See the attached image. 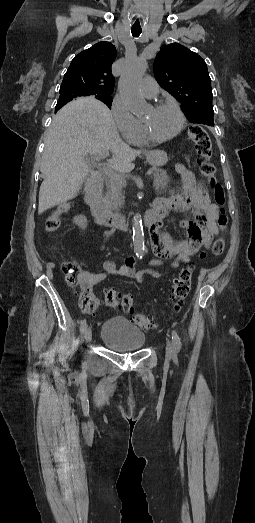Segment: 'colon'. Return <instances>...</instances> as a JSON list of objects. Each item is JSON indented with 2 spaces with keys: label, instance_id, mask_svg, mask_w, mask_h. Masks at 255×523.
I'll return each instance as SVG.
<instances>
[{
  "label": "colon",
  "instance_id": "colon-1",
  "mask_svg": "<svg viewBox=\"0 0 255 523\" xmlns=\"http://www.w3.org/2000/svg\"><path fill=\"white\" fill-rule=\"evenodd\" d=\"M188 138L194 144L197 155V162L200 168L201 175L207 180L213 188V196L216 204L219 207V215L217 219L218 226L221 232H224L228 226V216L224 209L225 193L222 185L216 179V167L211 161L212 157V143L207 131L199 126L194 125L189 128ZM70 209L69 203H62L58 208L47 218L46 231L50 234L55 233L61 226L62 216ZM225 247L223 237L215 240L212 245V253L219 255ZM63 271L66 282L70 286H80V304L86 312H94L98 306V302L90 292L88 286L82 280V272L77 262L73 260L66 261L63 264ZM193 276V267L188 266L183 268L178 278H176L172 285L171 298L173 302V309L179 310L186 296L189 293L191 280ZM105 304L109 307H122L126 312H132L134 307V297L130 293L120 295L115 290L107 291L105 295ZM134 322L143 329H151L155 327L152 318L145 314H136Z\"/></svg>",
  "mask_w": 255,
  "mask_h": 523
}]
</instances>
